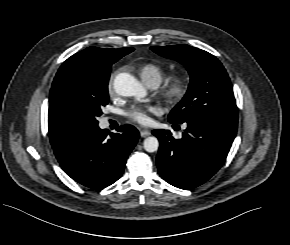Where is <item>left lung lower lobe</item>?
Returning a JSON list of instances; mask_svg holds the SVG:
<instances>
[{"label":"left lung lower lobe","mask_w":290,"mask_h":245,"mask_svg":"<svg viewBox=\"0 0 290 245\" xmlns=\"http://www.w3.org/2000/svg\"><path fill=\"white\" fill-rule=\"evenodd\" d=\"M181 139L169 130H154L160 141L156 158L158 172L171 185L189 190L211 178L223 165L236 136L237 126L212 120L204 115L193 116Z\"/></svg>","instance_id":"1"}]
</instances>
